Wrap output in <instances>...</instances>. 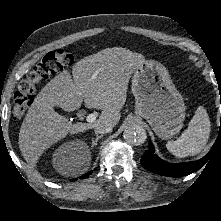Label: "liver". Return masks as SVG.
<instances>
[{"label":"liver","mask_w":221,"mask_h":221,"mask_svg":"<svg viewBox=\"0 0 221 221\" xmlns=\"http://www.w3.org/2000/svg\"><path fill=\"white\" fill-rule=\"evenodd\" d=\"M144 61L142 54L129 49L106 48L76 62L73 79L64 70L46 84L30 106L19 132V148L29 166L34 168L44 151L68 134L84 132L97 124L116 126L131 74ZM83 102L87 108L102 110L95 122L72 124L54 110L58 106L67 112L75 111Z\"/></svg>","instance_id":"liver-1"}]
</instances>
